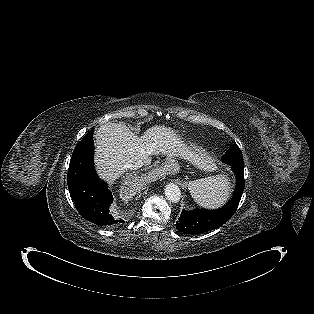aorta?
<instances>
[{
    "label": "aorta",
    "instance_id": "aorta-1",
    "mask_svg": "<svg viewBox=\"0 0 314 314\" xmlns=\"http://www.w3.org/2000/svg\"><path fill=\"white\" fill-rule=\"evenodd\" d=\"M164 193L166 198L173 203H177L181 198V190L174 183H168L165 186Z\"/></svg>",
    "mask_w": 314,
    "mask_h": 314
}]
</instances>
